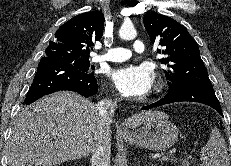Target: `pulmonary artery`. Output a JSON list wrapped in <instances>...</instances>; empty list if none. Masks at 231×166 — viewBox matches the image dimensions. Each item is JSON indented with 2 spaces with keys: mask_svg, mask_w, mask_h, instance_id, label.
Returning <instances> with one entry per match:
<instances>
[{
  "mask_svg": "<svg viewBox=\"0 0 231 166\" xmlns=\"http://www.w3.org/2000/svg\"><path fill=\"white\" fill-rule=\"evenodd\" d=\"M133 50L137 53H143L145 51V46L142 41L135 40L133 42ZM132 56V50L115 47L108 50V52L102 56L96 57V61H112V62H122L129 59Z\"/></svg>",
  "mask_w": 231,
  "mask_h": 166,
  "instance_id": "e3ab8cb5",
  "label": "pulmonary artery"
}]
</instances>
